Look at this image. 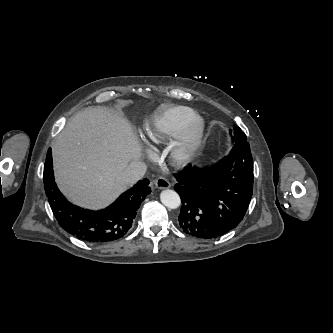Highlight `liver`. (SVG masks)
<instances>
[{
  "instance_id": "obj_1",
  "label": "liver",
  "mask_w": 333,
  "mask_h": 333,
  "mask_svg": "<svg viewBox=\"0 0 333 333\" xmlns=\"http://www.w3.org/2000/svg\"><path fill=\"white\" fill-rule=\"evenodd\" d=\"M56 183L74 204L100 209L126 188L122 173L141 157L128 121L104 107L73 116L52 146Z\"/></svg>"
}]
</instances>
